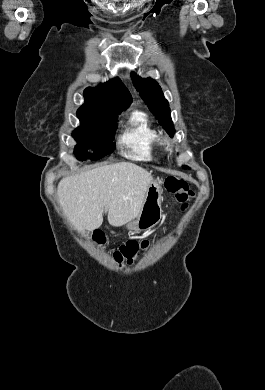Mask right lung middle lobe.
Returning a JSON list of instances; mask_svg holds the SVG:
<instances>
[{"label":"right lung middle lobe","mask_w":265,"mask_h":390,"mask_svg":"<svg viewBox=\"0 0 265 390\" xmlns=\"http://www.w3.org/2000/svg\"><path fill=\"white\" fill-rule=\"evenodd\" d=\"M77 116L80 126L72 133L78 143L74 151L77 159L98 160L115 150L113 137L117 128V116L86 109H78ZM88 148H93L95 153L89 155Z\"/></svg>","instance_id":"dd1d6c3e"}]
</instances>
